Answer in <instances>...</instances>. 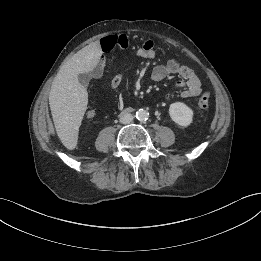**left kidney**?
<instances>
[{
	"mask_svg": "<svg viewBox=\"0 0 261 261\" xmlns=\"http://www.w3.org/2000/svg\"><path fill=\"white\" fill-rule=\"evenodd\" d=\"M193 110L182 102L172 103L169 107V115L177 125L187 127L192 123Z\"/></svg>",
	"mask_w": 261,
	"mask_h": 261,
	"instance_id": "obj_1",
	"label": "left kidney"
}]
</instances>
